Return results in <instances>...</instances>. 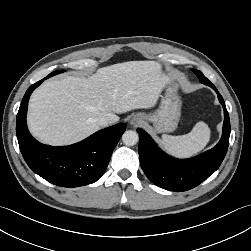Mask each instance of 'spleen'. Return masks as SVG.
<instances>
[{
	"label": "spleen",
	"instance_id": "obj_1",
	"mask_svg": "<svg viewBox=\"0 0 251 251\" xmlns=\"http://www.w3.org/2000/svg\"><path fill=\"white\" fill-rule=\"evenodd\" d=\"M211 131L208 125L200 121L196 123L192 131L185 135H163L161 144L171 155L179 158H187L198 154L210 141Z\"/></svg>",
	"mask_w": 251,
	"mask_h": 251
}]
</instances>
